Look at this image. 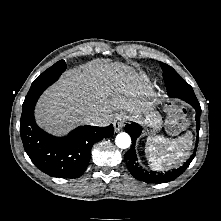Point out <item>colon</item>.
<instances>
[{
    "mask_svg": "<svg viewBox=\"0 0 221 221\" xmlns=\"http://www.w3.org/2000/svg\"><path fill=\"white\" fill-rule=\"evenodd\" d=\"M186 125L185 109L180 105H174L171 109L167 128L172 133H178Z\"/></svg>",
    "mask_w": 221,
    "mask_h": 221,
    "instance_id": "5ec220e1",
    "label": "colon"
}]
</instances>
